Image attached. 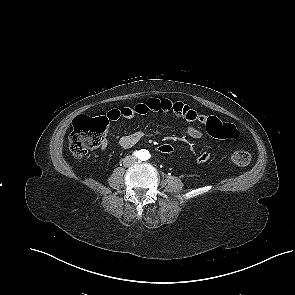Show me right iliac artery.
<instances>
[{"mask_svg": "<svg viewBox=\"0 0 295 295\" xmlns=\"http://www.w3.org/2000/svg\"><path fill=\"white\" fill-rule=\"evenodd\" d=\"M134 155H135V156H138V152H134Z\"/></svg>", "mask_w": 295, "mask_h": 295, "instance_id": "obj_1", "label": "right iliac artery"}]
</instances>
